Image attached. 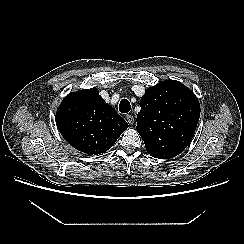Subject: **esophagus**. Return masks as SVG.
<instances>
[{
    "mask_svg": "<svg viewBox=\"0 0 244 244\" xmlns=\"http://www.w3.org/2000/svg\"><path fill=\"white\" fill-rule=\"evenodd\" d=\"M126 120L128 124L133 125L134 124V117L132 115H127Z\"/></svg>",
    "mask_w": 244,
    "mask_h": 244,
    "instance_id": "34e87169",
    "label": "esophagus"
}]
</instances>
